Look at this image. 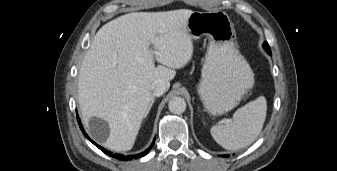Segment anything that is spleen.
<instances>
[{
	"mask_svg": "<svg viewBox=\"0 0 337 171\" xmlns=\"http://www.w3.org/2000/svg\"><path fill=\"white\" fill-rule=\"evenodd\" d=\"M267 101L264 96L237 109L233 118L225 124L212 126L213 139L227 150H239L249 146L260 134L266 118Z\"/></svg>",
	"mask_w": 337,
	"mask_h": 171,
	"instance_id": "1",
	"label": "spleen"
}]
</instances>
